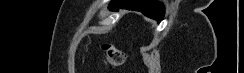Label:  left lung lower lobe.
<instances>
[{
  "label": "left lung lower lobe",
  "instance_id": "obj_1",
  "mask_svg": "<svg viewBox=\"0 0 244 73\" xmlns=\"http://www.w3.org/2000/svg\"><path fill=\"white\" fill-rule=\"evenodd\" d=\"M117 1V6H112ZM119 8L141 11L144 15L161 21L164 17V5L156 0H112L109 9L117 11Z\"/></svg>",
  "mask_w": 244,
  "mask_h": 73
}]
</instances>
